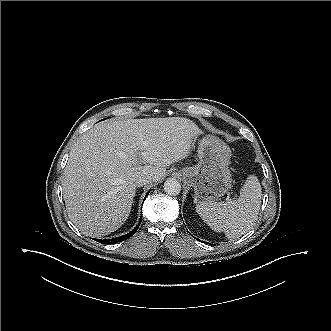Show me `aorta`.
I'll return each instance as SVG.
<instances>
[{"label":"aorta","instance_id":"1","mask_svg":"<svg viewBox=\"0 0 331 331\" xmlns=\"http://www.w3.org/2000/svg\"><path fill=\"white\" fill-rule=\"evenodd\" d=\"M164 191L171 196H176L181 192V185L178 180L169 178L164 182Z\"/></svg>","mask_w":331,"mask_h":331}]
</instances>
